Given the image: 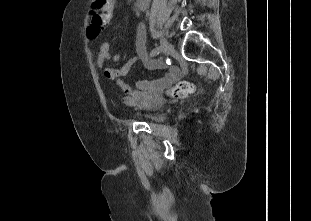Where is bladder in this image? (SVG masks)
<instances>
[{"instance_id": "obj_1", "label": "bladder", "mask_w": 311, "mask_h": 221, "mask_svg": "<svg viewBox=\"0 0 311 221\" xmlns=\"http://www.w3.org/2000/svg\"><path fill=\"white\" fill-rule=\"evenodd\" d=\"M162 103H154L150 108H144L135 112V116L144 117L147 123L160 124L164 121V118L157 115Z\"/></svg>"}]
</instances>
